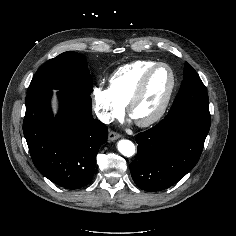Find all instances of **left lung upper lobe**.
Segmentation results:
<instances>
[{"instance_id":"obj_1","label":"left lung upper lobe","mask_w":236,"mask_h":236,"mask_svg":"<svg viewBox=\"0 0 236 236\" xmlns=\"http://www.w3.org/2000/svg\"><path fill=\"white\" fill-rule=\"evenodd\" d=\"M183 108H197L209 111L206 88L189 63L184 66V78L180 90L169 112Z\"/></svg>"}]
</instances>
